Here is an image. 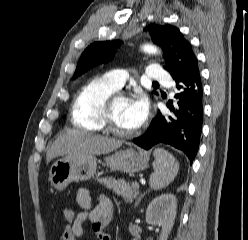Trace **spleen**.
<instances>
[{"instance_id":"1","label":"spleen","mask_w":248,"mask_h":240,"mask_svg":"<svg viewBox=\"0 0 248 240\" xmlns=\"http://www.w3.org/2000/svg\"><path fill=\"white\" fill-rule=\"evenodd\" d=\"M154 173L150 175L149 185L154 190L168 186L176 177L179 171V163L165 149L157 148L153 152Z\"/></svg>"}]
</instances>
